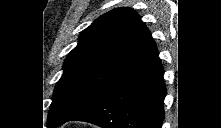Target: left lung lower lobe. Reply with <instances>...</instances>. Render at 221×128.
<instances>
[{"label": "left lung lower lobe", "instance_id": "obj_1", "mask_svg": "<svg viewBox=\"0 0 221 128\" xmlns=\"http://www.w3.org/2000/svg\"><path fill=\"white\" fill-rule=\"evenodd\" d=\"M156 46L99 99L68 121L103 128H161L166 87Z\"/></svg>", "mask_w": 221, "mask_h": 128}]
</instances>
